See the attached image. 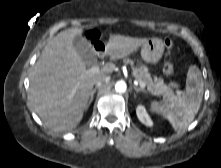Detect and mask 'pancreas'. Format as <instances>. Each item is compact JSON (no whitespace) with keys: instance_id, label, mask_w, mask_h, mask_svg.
<instances>
[{"instance_id":"obj_1","label":"pancreas","mask_w":221,"mask_h":168,"mask_svg":"<svg viewBox=\"0 0 221 168\" xmlns=\"http://www.w3.org/2000/svg\"><path fill=\"white\" fill-rule=\"evenodd\" d=\"M124 62L131 65L133 76L135 77V79L138 82H144L147 87V90L151 94L163 98L169 97L173 94L174 86H167L162 78H158L156 76H154L152 79L151 74L149 73L148 68L146 66L141 65L135 67L134 62L129 58L124 59Z\"/></svg>"}]
</instances>
